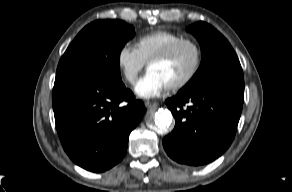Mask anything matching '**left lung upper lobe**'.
<instances>
[{
    "label": "left lung upper lobe",
    "instance_id": "5c2ea615",
    "mask_svg": "<svg viewBox=\"0 0 292 192\" xmlns=\"http://www.w3.org/2000/svg\"><path fill=\"white\" fill-rule=\"evenodd\" d=\"M198 40L202 62L191 80L179 91L221 84H244L243 71L233 48L226 38L205 22H197L187 28Z\"/></svg>",
    "mask_w": 292,
    "mask_h": 192
}]
</instances>
